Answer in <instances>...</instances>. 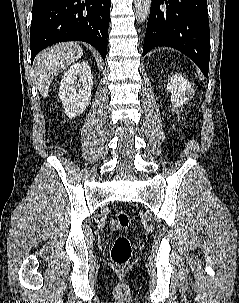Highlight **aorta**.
Masks as SVG:
<instances>
[{
    "label": "aorta",
    "instance_id": "aorta-1",
    "mask_svg": "<svg viewBox=\"0 0 239 303\" xmlns=\"http://www.w3.org/2000/svg\"><path fill=\"white\" fill-rule=\"evenodd\" d=\"M152 0H134L135 12L138 22H144L150 13Z\"/></svg>",
    "mask_w": 239,
    "mask_h": 303
}]
</instances>
